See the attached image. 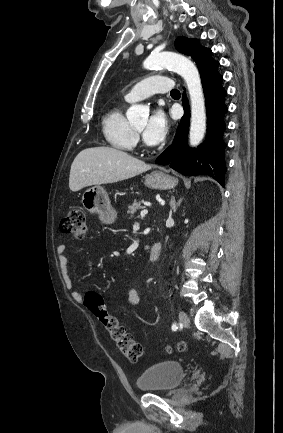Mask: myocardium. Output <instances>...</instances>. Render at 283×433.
Listing matches in <instances>:
<instances>
[{
    "instance_id": "myocardium-1",
    "label": "myocardium",
    "mask_w": 283,
    "mask_h": 433,
    "mask_svg": "<svg viewBox=\"0 0 283 433\" xmlns=\"http://www.w3.org/2000/svg\"><path fill=\"white\" fill-rule=\"evenodd\" d=\"M134 130H135L137 133H139V131H138L136 128H135Z\"/></svg>"
}]
</instances>
